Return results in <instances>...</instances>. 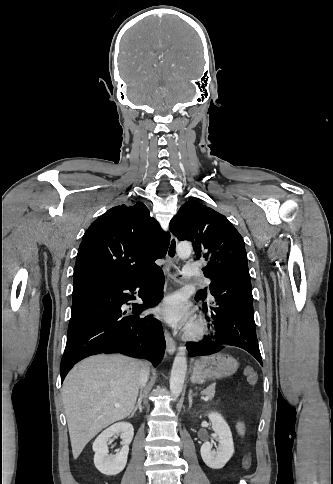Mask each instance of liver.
Masks as SVG:
<instances>
[{
	"mask_svg": "<svg viewBox=\"0 0 333 484\" xmlns=\"http://www.w3.org/2000/svg\"><path fill=\"white\" fill-rule=\"evenodd\" d=\"M142 366L143 362L122 355H96L68 373L62 400L74 459L102 429L133 411Z\"/></svg>",
	"mask_w": 333,
	"mask_h": 484,
	"instance_id": "liver-1",
	"label": "liver"
}]
</instances>
